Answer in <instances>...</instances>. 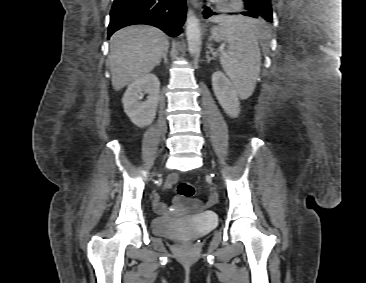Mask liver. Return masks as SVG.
<instances>
[{
	"label": "liver",
	"instance_id": "liver-1",
	"mask_svg": "<svg viewBox=\"0 0 366 283\" xmlns=\"http://www.w3.org/2000/svg\"><path fill=\"white\" fill-rule=\"evenodd\" d=\"M167 36L150 25H133L116 31L110 39V72L113 89L150 73L168 51Z\"/></svg>",
	"mask_w": 366,
	"mask_h": 283
}]
</instances>
